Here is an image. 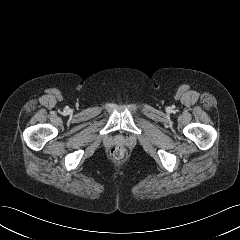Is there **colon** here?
Masks as SVG:
<instances>
[{
  "label": "colon",
  "mask_w": 240,
  "mask_h": 240,
  "mask_svg": "<svg viewBox=\"0 0 240 240\" xmlns=\"http://www.w3.org/2000/svg\"><path fill=\"white\" fill-rule=\"evenodd\" d=\"M111 156L116 160H121L125 156V150L121 146H115L111 149Z\"/></svg>",
  "instance_id": "1"
}]
</instances>
